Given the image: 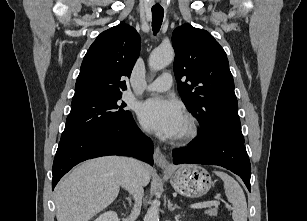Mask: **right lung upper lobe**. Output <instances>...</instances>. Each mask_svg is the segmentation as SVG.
<instances>
[{
    "label": "right lung upper lobe",
    "instance_id": "obj_1",
    "mask_svg": "<svg viewBox=\"0 0 307 221\" xmlns=\"http://www.w3.org/2000/svg\"><path fill=\"white\" fill-rule=\"evenodd\" d=\"M140 52V37L126 24L102 32L87 51L72 103L122 95Z\"/></svg>",
    "mask_w": 307,
    "mask_h": 221
}]
</instances>
